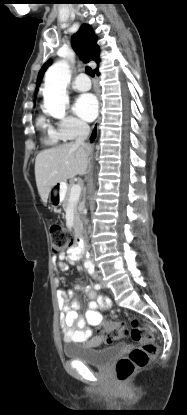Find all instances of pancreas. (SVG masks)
I'll list each match as a JSON object with an SVG mask.
<instances>
[{"label": "pancreas", "mask_w": 187, "mask_h": 415, "mask_svg": "<svg viewBox=\"0 0 187 415\" xmlns=\"http://www.w3.org/2000/svg\"><path fill=\"white\" fill-rule=\"evenodd\" d=\"M73 184H69L65 195H64V199H63V203H62V207L64 210H67V208L70 205V193H71V188H72ZM74 228L77 227V225L79 224V212H78V201H76L74 203Z\"/></svg>", "instance_id": "pancreas-1"}]
</instances>
